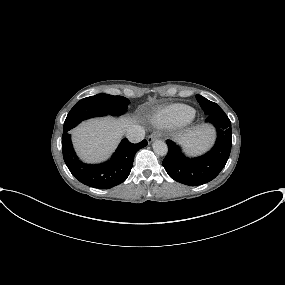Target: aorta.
<instances>
[{"instance_id":"762f6f07","label":"aorta","mask_w":285,"mask_h":285,"mask_svg":"<svg viewBox=\"0 0 285 285\" xmlns=\"http://www.w3.org/2000/svg\"><path fill=\"white\" fill-rule=\"evenodd\" d=\"M153 150L157 155L165 156L168 153V146L162 140H156L152 144Z\"/></svg>"}]
</instances>
